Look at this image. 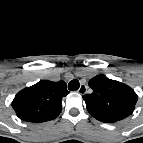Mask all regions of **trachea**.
Instances as JSON below:
<instances>
[{"label": "trachea", "mask_w": 143, "mask_h": 143, "mask_svg": "<svg viewBox=\"0 0 143 143\" xmlns=\"http://www.w3.org/2000/svg\"><path fill=\"white\" fill-rule=\"evenodd\" d=\"M79 87H80V83L77 79L71 80L68 84V89L71 91L78 90Z\"/></svg>", "instance_id": "trachea-1"}]
</instances>
